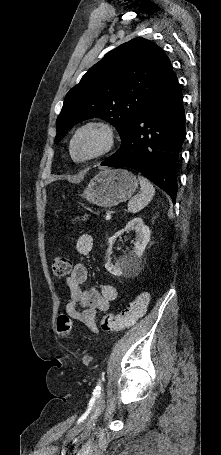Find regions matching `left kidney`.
Here are the masks:
<instances>
[{"label": "left kidney", "instance_id": "5707ae66", "mask_svg": "<svg viewBox=\"0 0 221 455\" xmlns=\"http://www.w3.org/2000/svg\"><path fill=\"white\" fill-rule=\"evenodd\" d=\"M135 231L136 232V239L134 243V250L127 255H124L120 258L115 265L111 262V254H112V245L116 241V239L121 236L125 231ZM150 240V230L148 226L143 223L142 218H134L124 229L116 232L113 236H111L108 240L109 247L107 250V262L105 264V268L109 271L112 275L120 276L124 273H129L136 269L141 260V256Z\"/></svg>", "mask_w": 221, "mask_h": 455}]
</instances>
